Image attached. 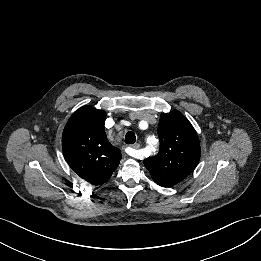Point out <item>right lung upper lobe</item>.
I'll return each mask as SVG.
<instances>
[{"instance_id": "obj_1", "label": "right lung upper lobe", "mask_w": 261, "mask_h": 261, "mask_svg": "<svg viewBox=\"0 0 261 261\" xmlns=\"http://www.w3.org/2000/svg\"><path fill=\"white\" fill-rule=\"evenodd\" d=\"M106 113L91 106L79 108L62 135L64 157L73 171L92 185L109 180L121 160V152L106 137Z\"/></svg>"}]
</instances>
